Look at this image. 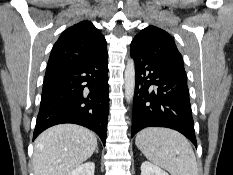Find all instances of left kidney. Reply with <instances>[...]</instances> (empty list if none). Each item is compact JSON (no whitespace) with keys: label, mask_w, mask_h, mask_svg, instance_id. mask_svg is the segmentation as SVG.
<instances>
[{"label":"left kidney","mask_w":233,"mask_h":175,"mask_svg":"<svg viewBox=\"0 0 233 175\" xmlns=\"http://www.w3.org/2000/svg\"><path fill=\"white\" fill-rule=\"evenodd\" d=\"M141 175H169V174L164 170H162L160 167L145 161L141 165Z\"/></svg>","instance_id":"1"}]
</instances>
